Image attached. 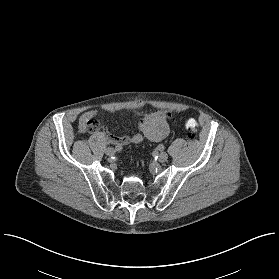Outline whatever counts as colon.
<instances>
[{
    "label": "colon",
    "instance_id": "1",
    "mask_svg": "<svg viewBox=\"0 0 279 279\" xmlns=\"http://www.w3.org/2000/svg\"><path fill=\"white\" fill-rule=\"evenodd\" d=\"M184 125H185V129L191 136H194L199 130L198 122L193 118L186 119ZM84 131L90 132L92 131V128L89 125H87Z\"/></svg>",
    "mask_w": 279,
    "mask_h": 279
}]
</instances>
